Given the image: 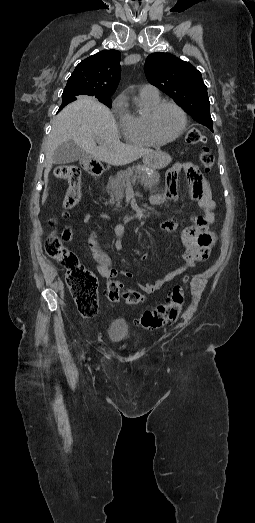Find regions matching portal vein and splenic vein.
Returning a JSON list of instances; mask_svg holds the SVG:
<instances>
[{"instance_id": "1", "label": "portal vein and splenic vein", "mask_w": 255, "mask_h": 523, "mask_svg": "<svg viewBox=\"0 0 255 523\" xmlns=\"http://www.w3.org/2000/svg\"><path fill=\"white\" fill-rule=\"evenodd\" d=\"M133 186H137V183H133ZM125 189H126V196L133 197L135 195V192L133 191L131 184H127L125 186Z\"/></svg>"}]
</instances>
